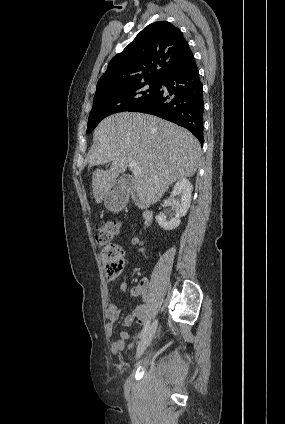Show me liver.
Listing matches in <instances>:
<instances>
[{"label":"liver","instance_id":"liver-1","mask_svg":"<svg viewBox=\"0 0 285 424\" xmlns=\"http://www.w3.org/2000/svg\"><path fill=\"white\" fill-rule=\"evenodd\" d=\"M201 146L188 130L143 113L124 112L104 119L95 129L87 159L90 167L111 162L92 173V190L101 203L133 161L141 168L134 188L139 200L154 204L178 179L195 174Z\"/></svg>","mask_w":285,"mask_h":424}]
</instances>
